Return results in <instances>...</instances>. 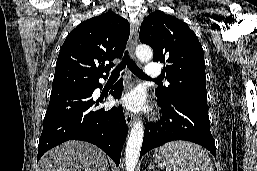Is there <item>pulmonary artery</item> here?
<instances>
[{"label":"pulmonary artery","mask_w":257,"mask_h":171,"mask_svg":"<svg viewBox=\"0 0 257 171\" xmlns=\"http://www.w3.org/2000/svg\"><path fill=\"white\" fill-rule=\"evenodd\" d=\"M145 74L150 78L157 77L158 75H160L159 65L155 62L148 63L145 69Z\"/></svg>","instance_id":"1"}]
</instances>
